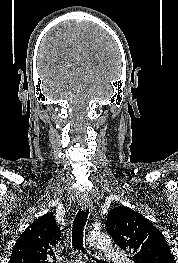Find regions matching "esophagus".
Wrapping results in <instances>:
<instances>
[{
	"label": "esophagus",
	"mask_w": 178,
	"mask_h": 263,
	"mask_svg": "<svg viewBox=\"0 0 178 263\" xmlns=\"http://www.w3.org/2000/svg\"><path fill=\"white\" fill-rule=\"evenodd\" d=\"M80 207L83 211L89 208L92 209V201L90 200V198L87 196L82 197L80 200Z\"/></svg>",
	"instance_id": "esophagus-1"
}]
</instances>
